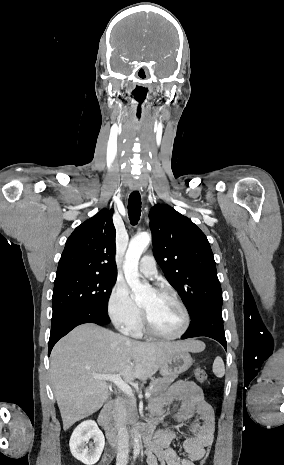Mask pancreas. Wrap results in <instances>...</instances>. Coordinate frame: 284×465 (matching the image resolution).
<instances>
[{
  "mask_svg": "<svg viewBox=\"0 0 284 465\" xmlns=\"http://www.w3.org/2000/svg\"><path fill=\"white\" fill-rule=\"evenodd\" d=\"M178 373H169V375H164V377H161V379H155V381H151L149 387L146 389V393H151L150 399H155V397H158V395H161V393H164V391H167L169 385L177 379ZM127 407V421L129 425H136L138 415H137V409L134 401H128L126 403Z\"/></svg>",
  "mask_w": 284,
  "mask_h": 465,
  "instance_id": "obj_1",
  "label": "pancreas"
}]
</instances>
